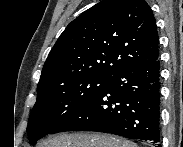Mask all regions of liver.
I'll list each match as a JSON object with an SVG mask.
<instances>
[{"label": "liver", "mask_w": 183, "mask_h": 147, "mask_svg": "<svg viewBox=\"0 0 183 147\" xmlns=\"http://www.w3.org/2000/svg\"><path fill=\"white\" fill-rule=\"evenodd\" d=\"M39 147H137V144L111 135L72 133L45 140Z\"/></svg>", "instance_id": "6515ba94"}]
</instances>
